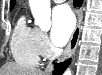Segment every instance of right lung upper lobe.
<instances>
[{
	"instance_id": "cb5924a9",
	"label": "right lung upper lobe",
	"mask_w": 102,
	"mask_h": 75,
	"mask_svg": "<svg viewBox=\"0 0 102 75\" xmlns=\"http://www.w3.org/2000/svg\"><path fill=\"white\" fill-rule=\"evenodd\" d=\"M14 4H15V0H10V9L14 7Z\"/></svg>"
}]
</instances>
